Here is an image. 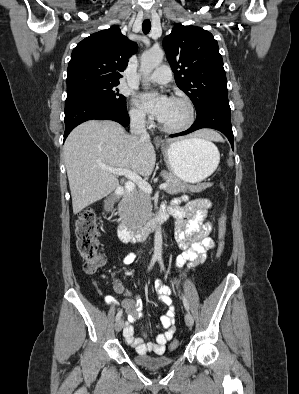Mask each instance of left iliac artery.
<instances>
[{
  "mask_svg": "<svg viewBox=\"0 0 299 394\" xmlns=\"http://www.w3.org/2000/svg\"><path fill=\"white\" fill-rule=\"evenodd\" d=\"M158 261H159V264H160L161 269H162L163 271H165L164 263H163V260H162L161 256L158 257ZM182 299H183L184 307H185L187 310H189V304H188V302H187V299H186L184 296H183Z\"/></svg>",
  "mask_w": 299,
  "mask_h": 394,
  "instance_id": "obj_1",
  "label": "left iliac artery"
}]
</instances>
